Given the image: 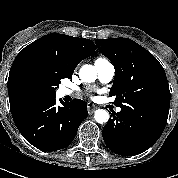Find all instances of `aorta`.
Segmentation results:
<instances>
[{
  "instance_id": "obj_1",
  "label": "aorta",
  "mask_w": 178,
  "mask_h": 178,
  "mask_svg": "<svg viewBox=\"0 0 178 178\" xmlns=\"http://www.w3.org/2000/svg\"><path fill=\"white\" fill-rule=\"evenodd\" d=\"M79 77L83 82L91 83L97 78V72L93 65H83L79 70ZM94 118L98 123H106L109 120V113L105 109L95 111Z\"/></svg>"
}]
</instances>
